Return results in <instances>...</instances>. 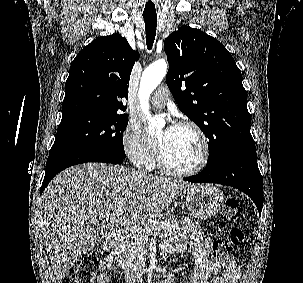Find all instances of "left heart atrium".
I'll use <instances>...</instances> for the list:
<instances>
[{
  "label": "left heart atrium",
  "instance_id": "obj_1",
  "mask_svg": "<svg viewBox=\"0 0 303 283\" xmlns=\"http://www.w3.org/2000/svg\"><path fill=\"white\" fill-rule=\"evenodd\" d=\"M175 125L173 124H169L166 128H165V134H169L173 129H174Z\"/></svg>",
  "mask_w": 303,
  "mask_h": 283
}]
</instances>
